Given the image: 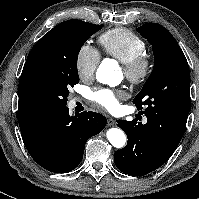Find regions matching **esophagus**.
Returning a JSON list of instances; mask_svg holds the SVG:
<instances>
[{
  "label": "esophagus",
  "instance_id": "obj_1",
  "mask_svg": "<svg viewBox=\"0 0 199 199\" xmlns=\"http://www.w3.org/2000/svg\"><path fill=\"white\" fill-rule=\"evenodd\" d=\"M107 123H108V126H115V125H116L115 120L112 119V118H109V119L107 120Z\"/></svg>",
  "mask_w": 199,
  "mask_h": 199
}]
</instances>
